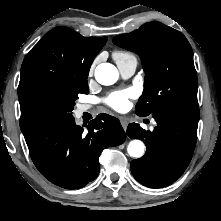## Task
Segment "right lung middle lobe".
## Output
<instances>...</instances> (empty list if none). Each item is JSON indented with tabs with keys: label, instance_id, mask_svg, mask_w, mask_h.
Instances as JSON below:
<instances>
[{
	"label": "right lung middle lobe",
	"instance_id": "1",
	"mask_svg": "<svg viewBox=\"0 0 221 221\" xmlns=\"http://www.w3.org/2000/svg\"><path fill=\"white\" fill-rule=\"evenodd\" d=\"M79 94H88L87 76L60 81L56 87L40 94L33 101L31 108L34 120L71 116Z\"/></svg>",
	"mask_w": 221,
	"mask_h": 221
}]
</instances>
